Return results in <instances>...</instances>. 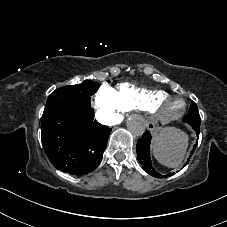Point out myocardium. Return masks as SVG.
I'll return each instance as SVG.
<instances>
[{
  "label": "myocardium",
  "mask_w": 227,
  "mask_h": 227,
  "mask_svg": "<svg viewBox=\"0 0 227 227\" xmlns=\"http://www.w3.org/2000/svg\"><path fill=\"white\" fill-rule=\"evenodd\" d=\"M166 102L170 103L165 107ZM186 109V102L182 97L167 95L151 102L147 108L148 114L161 122L172 121L179 118Z\"/></svg>",
  "instance_id": "1"
}]
</instances>
